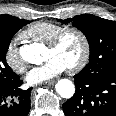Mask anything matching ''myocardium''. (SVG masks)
Segmentation results:
<instances>
[{
  "mask_svg": "<svg viewBox=\"0 0 116 116\" xmlns=\"http://www.w3.org/2000/svg\"><path fill=\"white\" fill-rule=\"evenodd\" d=\"M69 33L77 34L78 37L81 39L82 46H83V52H82L80 59L72 66L68 67V70L74 73V72H78L81 69H83L87 65L90 59L91 44H90L88 35L82 29L78 27L65 26L59 32L56 33V35L47 45H48V48L57 49L60 46L64 37Z\"/></svg>",
  "mask_w": 116,
  "mask_h": 116,
  "instance_id": "1",
  "label": "myocardium"
}]
</instances>
